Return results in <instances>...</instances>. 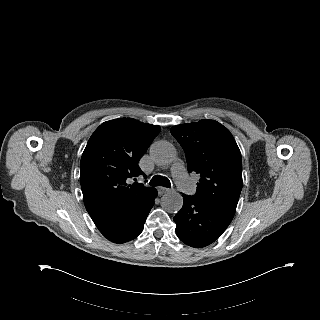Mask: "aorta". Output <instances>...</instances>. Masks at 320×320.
I'll return each instance as SVG.
<instances>
[{
  "label": "aorta",
  "mask_w": 320,
  "mask_h": 320,
  "mask_svg": "<svg viewBox=\"0 0 320 320\" xmlns=\"http://www.w3.org/2000/svg\"><path fill=\"white\" fill-rule=\"evenodd\" d=\"M150 157L155 164L166 167L175 160L176 150L171 143L158 141L150 147ZM182 205L183 197L175 191L168 192L161 198L162 208L169 213H177Z\"/></svg>",
  "instance_id": "1"
}]
</instances>
